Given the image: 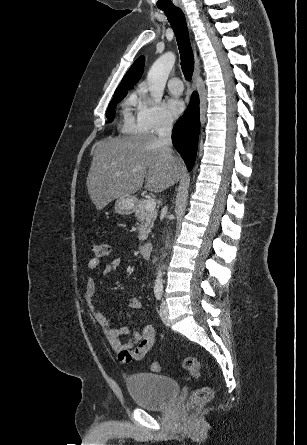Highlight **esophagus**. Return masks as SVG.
Returning <instances> with one entry per match:
<instances>
[{"label":"esophagus","instance_id":"esophagus-1","mask_svg":"<svg viewBox=\"0 0 307 445\" xmlns=\"http://www.w3.org/2000/svg\"><path fill=\"white\" fill-rule=\"evenodd\" d=\"M176 7L180 8V10H182V12L185 13V7L183 5V3H177ZM189 25V22H188ZM200 73V61L199 58H197V56L195 57V69H194V74H193V83H192V88L195 90L196 89V83H197V78L198 75Z\"/></svg>","mask_w":307,"mask_h":445}]
</instances>
